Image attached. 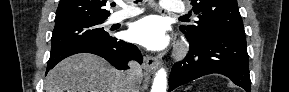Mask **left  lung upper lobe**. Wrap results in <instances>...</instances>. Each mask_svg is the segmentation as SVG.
Here are the masks:
<instances>
[{
  "label": "left lung upper lobe",
  "mask_w": 289,
  "mask_h": 92,
  "mask_svg": "<svg viewBox=\"0 0 289 92\" xmlns=\"http://www.w3.org/2000/svg\"><path fill=\"white\" fill-rule=\"evenodd\" d=\"M192 11L198 14V26H180V30L192 43L201 42L215 32L245 35L237 0H192Z\"/></svg>",
  "instance_id": "obj_1"
}]
</instances>
